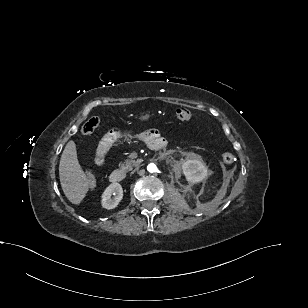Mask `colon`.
<instances>
[{
  "mask_svg": "<svg viewBox=\"0 0 308 308\" xmlns=\"http://www.w3.org/2000/svg\"><path fill=\"white\" fill-rule=\"evenodd\" d=\"M176 117H177L178 120L183 121V122L194 120V115L185 107H178L176 109ZM99 123H100L99 117L93 116V117L89 118L82 125L81 133L84 136H88V135L92 134L95 131V129L98 127ZM223 161L226 164H232L235 161L234 154L231 153V152H225L223 154ZM88 186H89V189L91 191L96 188V179H95L94 175L91 174V173L88 175Z\"/></svg>",
  "mask_w": 308,
  "mask_h": 308,
  "instance_id": "1",
  "label": "colon"
}]
</instances>
